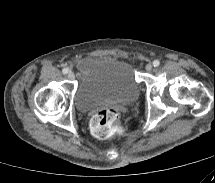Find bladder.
<instances>
[{
    "instance_id": "bladder-1",
    "label": "bladder",
    "mask_w": 215,
    "mask_h": 183,
    "mask_svg": "<svg viewBox=\"0 0 215 183\" xmlns=\"http://www.w3.org/2000/svg\"><path fill=\"white\" fill-rule=\"evenodd\" d=\"M79 82L74 103L80 112L104 105L127 104L140 91L134 69L125 60L109 57H84L77 62Z\"/></svg>"
}]
</instances>
